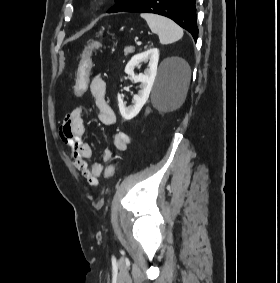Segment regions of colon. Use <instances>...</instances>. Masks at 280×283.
<instances>
[{
    "instance_id": "colon-1",
    "label": "colon",
    "mask_w": 280,
    "mask_h": 283,
    "mask_svg": "<svg viewBox=\"0 0 280 283\" xmlns=\"http://www.w3.org/2000/svg\"><path fill=\"white\" fill-rule=\"evenodd\" d=\"M100 45L101 44L98 40H93L85 46L81 53L80 71L77 73V79L75 80L72 91V94L77 96L78 99H81L82 96L87 94V92H90V87L88 86L92 71L87 69L91 64L93 54L100 48ZM113 174L114 166L110 164L107 167L106 176L108 179H110Z\"/></svg>"
}]
</instances>
